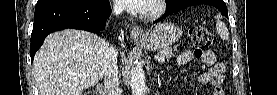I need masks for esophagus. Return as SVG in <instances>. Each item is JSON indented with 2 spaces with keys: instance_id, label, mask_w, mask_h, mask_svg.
<instances>
[{
  "instance_id": "34e87169",
  "label": "esophagus",
  "mask_w": 277,
  "mask_h": 95,
  "mask_svg": "<svg viewBox=\"0 0 277 95\" xmlns=\"http://www.w3.org/2000/svg\"><path fill=\"white\" fill-rule=\"evenodd\" d=\"M131 36L133 39H142L144 37V31L142 27L133 25L131 28Z\"/></svg>"
}]
</instances>
